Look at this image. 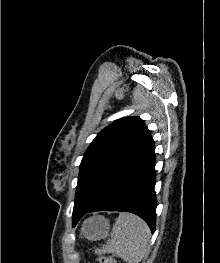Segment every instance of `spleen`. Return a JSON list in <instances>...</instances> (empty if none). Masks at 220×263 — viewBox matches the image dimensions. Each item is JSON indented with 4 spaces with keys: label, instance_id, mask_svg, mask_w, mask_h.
Instances as JSON below:
<instances>
[{
    "label": "spleen",
    "instance_id": "3e777b00",
    "mask_svg": "<svg viewBox=\"0 0 220 263\" xmlns=\"http://www.w3.org/2000/svg\"><path fill=\"white\" fill-rule=\"evenodd\" d=\"M151 233L138 216L120 213L112 229V238L99 253H114L125 262L138 263L149 251Z\"/></svg>",
    "mask_w": 220,
    "mask_h": 263
}]
</instances>
